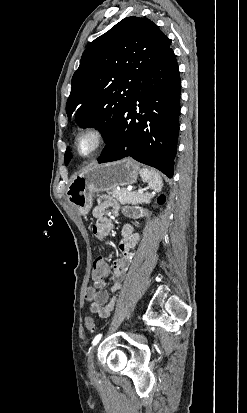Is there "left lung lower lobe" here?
Returning <instances> with one entry per match:
<instances>
[{
	"mask_svg": "<svg viewBox=\"0 0 247 413\" xmlns=\"http://www.w3.org/2000/svg\"><path fill=\"white\" fill-rule=\"evenodd\" d=\"M181 82L169 48L143 78L106 141L98 163L124 157L173 177L179 133Z\"/></svg>",
	"mask_w": 247,
	"mask_h": 413,
	"instance_id": "obj_1",
	"label": "left lung lower lobe"
}]
</instances>
